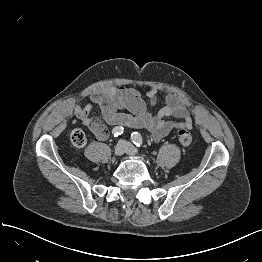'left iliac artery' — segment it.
<instances>
[{"label":"left iliac artery","instance_id":"44dca946","mask_svg":"<svg viewBox=\"0 0 262 262\" xmlns=\"http://www.w3.org/2000/svg\"><path fill=\"white\" fill-rule=\"evenodd\" d=\"M131 140L137 147H141L143 144V138L138 132H133L131 134Z\"/></svg>","mask_w":262,"mask_h":262}]
</instances>
